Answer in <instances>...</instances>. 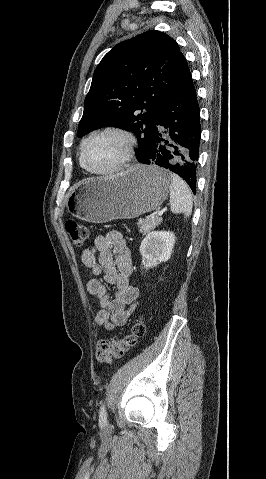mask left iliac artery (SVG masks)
<instances>
[{
    "mask_svg": "<svg viewBox=\"0 0 266 479\" xmlns=\"http://www.w3.org/2000/svg\"><path fill=\"white\" fill-rule=\"evenodd\" d=\"M99 418L101 421H106V409H105V405H102L101 408H100V411H99Z\"/></svg>",
    "mask_w": 266,
    "mask_h": 479,
    "instance_id": "1",
    "label": "left iliac artery"
}]
</instances>
